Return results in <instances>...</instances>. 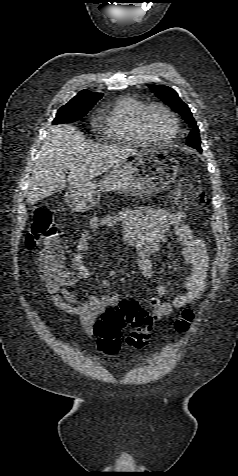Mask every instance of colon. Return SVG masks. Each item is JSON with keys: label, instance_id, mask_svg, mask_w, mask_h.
Masks as SVG:
<instances>
[{"label": "colon", "instance_id": "colon-1", "mask_svg": "<svg viewBox=\"0 0 238 476\" xmlns=\"http://www.w3.org/2000/svg\"><path fill=\"white\" fill-rule=\"evenodd\" d=\"M206 201L204 192L188 179L178 181L174 195L175 204L186 210L201 208ZM58 227L51 211L40 207L34 211L33 220L26 237L28 249H42L40 269L43 277L52 287L73 282V278L63 267L56 238ZM194 312L185 309L175 321V329L180 334L191 329ZM130 326L132 331L126 338L127 344L134 349L145 347L150 339L152 318L136 301L123 300L109 307L96 323L95 333L100 350L115 355L120 349L121 331Z\"/></svg>", "mask_w": 238, "mask_h": 476}]
</instances>
